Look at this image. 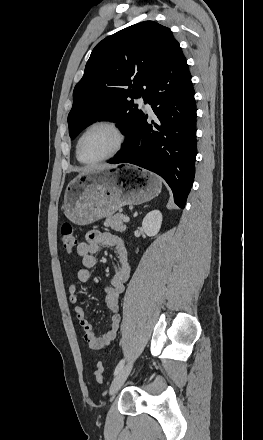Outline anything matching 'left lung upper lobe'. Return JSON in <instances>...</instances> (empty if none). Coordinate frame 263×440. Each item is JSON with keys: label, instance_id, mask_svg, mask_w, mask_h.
<instances>
[{"label": "left lung upper lobe", "instance_id": "left-lung-upper-lobe-1", "mask_svg": "<svg viewBox=\"0 0 263 440\" xmlns=\"http://www.w3.org/2000/svg\"><path fill=\"white\" fill-rule=\"evenodd\" d=\"M175 43L170 29L154 21L129 26L99 42L73 91L70 137L100 119L117 120L127 135L143 113L133 99L145 97Z\"/></svg>", "mask_w": 263, "mask_h": 440}]
</instances>
